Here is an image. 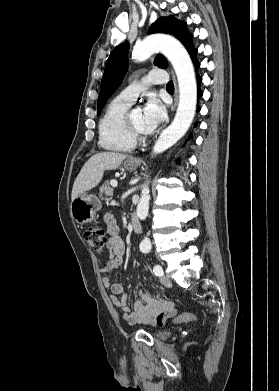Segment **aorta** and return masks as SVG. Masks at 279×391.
<instances>
[{
    "instance_id": "1",
    "label": "aorta",
    "mask_w": 279,
    "mask_h": 391,
    "mask_svg": "<svg viewBox=\"0 0 279 391\" xmlns=\"http://www.w3.org/2000/svg\"><path fill=\"white\" fill-rule=\"evenodd\" d=\"M161 51L171 62L179 86V104L173 122L160 134L154 147L153 154H159L173 146L189 129L196 110L197 84L194 67L190 56L184 46L176 39L165 35H152L136 43L132 52V58L143 61L155 51ZM149 187L148 183L142 186L141 197L137 205V217L146 219L149 211ZM151 249V241L144 239L140 243V250L148 252Z\"/></svg>"
}]
</instances>
